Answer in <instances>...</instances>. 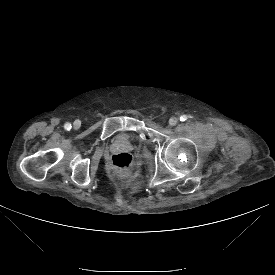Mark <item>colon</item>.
<instances>
[{
    "label": "colon",
    "instance_id": "1",
    "mask_svg": "<svg viewBox=\"0 0 275 275\" xmlns=\"http://www.w3.org/2000/svg\"><path fill=\"white\" fill-rule=\"evenodd\" d=\"M109 164L115 169L128 170L133 164V158L127 152H119L110 157Z\"/></svg>",
    "mask_w": 275,
    "mask_h": 275
}]
</instances>
